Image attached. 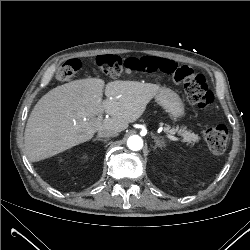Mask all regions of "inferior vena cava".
<instances>
[{
    "label": "inferior vena cava",
    "instance_id": "1",
    "mask_svg": "<svg viewBox=\"0 0 250 250\" xmlns=\"http://www.w3.org/2000/svg\"><path fill=\"white\" fill-rule=\"evenodd\" d=\"M119 132L116 129H102L98 131L99 137H116Z\"/></svg>",
    "mask_w": 250,
    "mask_h": 250
}]
</instances>
